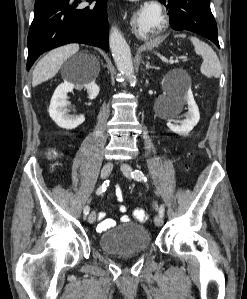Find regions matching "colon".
Listing matches in <instances>:
<instances>
[{"label": "colon", "mask_w": 247, "mask_h": 299, "mask_svg": "<svg viewBox=\"0 0 247 299\" xmlns=\"http://www.w3.org/2000/svg\"><path fill=\"white\" fill-rule=\"evenodd\" d=\"M51 156H54V153L51 152ZM116 192L121 196L123 195L120 188L116 189ZM115 192V193H116ZM135 219L139 222H146L148 220V215L143 209H135L133 212Z\"/></svg>", "instance_id": "obj_1"}]
</instances>
